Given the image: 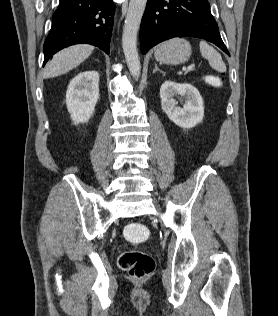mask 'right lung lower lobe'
<instances>
[{
  "label": "right lung lower lobe",
  "mask_w": 278,
  "mask_h": 316,
  "mask_svg": "<svg viewBox=\"0 0 278 316\" xmlns=\"http://www.w3.org/2000/svg\"><path fill=\"white\" fill-rule=\"evenodd\" d=\"M112 0H60L44 43V63L74 44H92L109 54L113 28Z\"/></svg>",
  "instance_id": "98d812e1"
}]
</instances>
